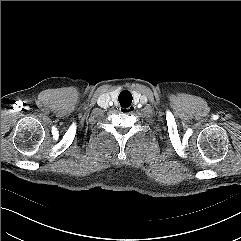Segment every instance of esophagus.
<instances>
[{
  "label": "esophagus",
  "mask_w": 241,
  "mask_h": 241,
  "mask_svg": "<svg viewBox=\"0 0 241 241\" xmlns=\"http://www.w3.org/2000/svg\"><path fill=\"white\" fill-rule=\"evenodd\" d=\"M121 110L123 112H125V113L131 114V113H133L136 110V106L131 105V106L127 107V108H122Z\"/></svg>",
  "instance_id": "obj_1"
}]
</instances>
